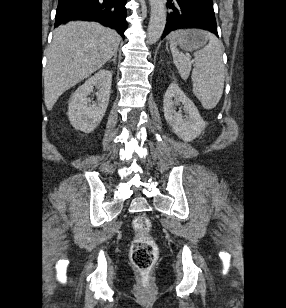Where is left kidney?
I'll return each instance as SVG.
<instances>
[{"instance_id":"obj_1","label":"left kidney","mask_w":286,"mask_h":308,"mask_svg":"<svg viewBox=\"0 0 286 308\" xmlns=\"http://www.w3.org/2000/svg\"><path fill=\"white\" fill-rule=\"evenodd\" d=\"M179 103H182L188 114L186 118L182 116L180 111H176V106ZM163 112L165 120L172 127L173 132L186 142L197 138L206 127L195 104L176 83H171L164 95Z\"/></svg>"}]
</instances>
